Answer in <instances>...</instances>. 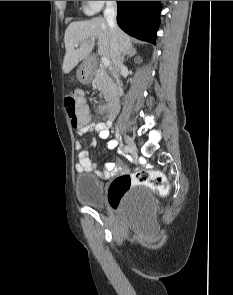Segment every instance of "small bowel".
I'll use <instances>...</instances> for the list:
<instances>
[{"label":"small bowel","mask_w":233,"mask_h":295,"mask_svg":"<svg viewBox=\"0 0 233 295\" xmlns=\"http://www.w3.org/2000/svg\"><path fill=\"white\" fill-rule=\"evenodd\" d=\"M111 121L105 120L101 122L90 121L81 126L75 128L76 131L83 135L90 131H95L101 139H107L110 135ZM95 144V141L92 139L90 140V147ZM117 141L115 139H110L107 142V148L112 150L116 148ZM77 149H81V145L78 143L76 144ZM77 172H95V174L101 179H108L113 176L115 173L122 171L123 167L121 164L116 162H106L101 170H95V165L91 161L89 155V148L81 149L78 154V163L76 164Z\"/></svg>","instance_id":"c3829d8e"}]
</instances>
